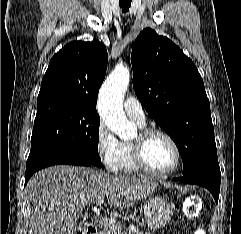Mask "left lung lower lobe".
<instances>
[{
	"instance_id": "0a47b994",
	"label": "left lung lower lobe",
	"mask_w": 241,
	"mask_h": 234,
	"mask_svg": "<svg viewBox=\"0 0 241 234\" xmlns=\"http://www.w3.org/2000/svg\"><path fill=\"white\" fill-rule=\"evenodd\" d=\"M175 181L188 184H196L207 188L213 195L216 202L219 199L221 177H215L210 174H195L190 176H182L173 178Z\"/></svg>"
}]
</instances>
